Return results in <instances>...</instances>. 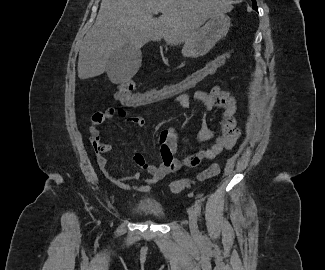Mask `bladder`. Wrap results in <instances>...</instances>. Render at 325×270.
I'll list each match as a JSON object with an SVG mask.
<instances>
[{
	"label": "bladder",
	"mask_w": 325,
	"mask_h": 270,
	"mask_svg": "<svg viewBox=\"0 0 325 270\" xmlns=\"http://www.w3.org/2000/svg\"><path fill=\"white\" fill-rule=\"evenodd\" d=\"M135 209L144 215H152L159 219L165 217L162 204L154 197L140 198L135 204Z\"/></svg>",
	"instance_id": "obj_1"
}]
</instances>
